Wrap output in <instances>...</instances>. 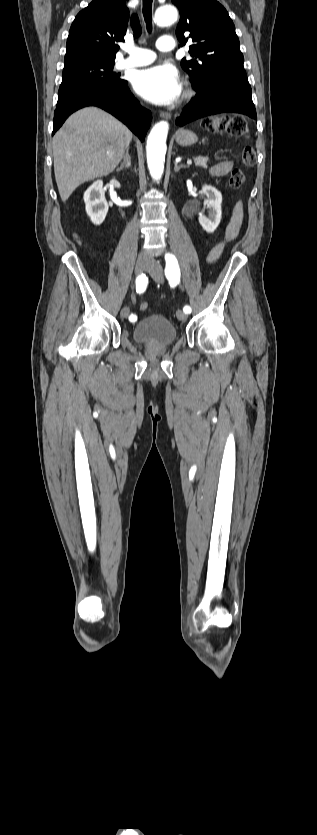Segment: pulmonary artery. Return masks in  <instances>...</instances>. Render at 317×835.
Here are the masks:
<instances>
[{
  "label": "pulmonary artery",
  "mask_w": 317,
  "mask_h": 835,
  "mask_svg": "<svg viewBox=\"0 0 317 835\" xmlns=\"http://www.w3.org/2000/svg\"><path fill=\"white\" fill-rule=\"evenodd\" d=\"M156 47L162 52L172 51L175 48L173 37L169 35L161 36L156 42ZM127 50L129 56L118 62L117 67L119 69L145 66L152 63L156 58L155 53L146 48L133 46L127 48Z\"/></svg>",
  "instance_id": "e3ab8cb5"
}]
</instances>
